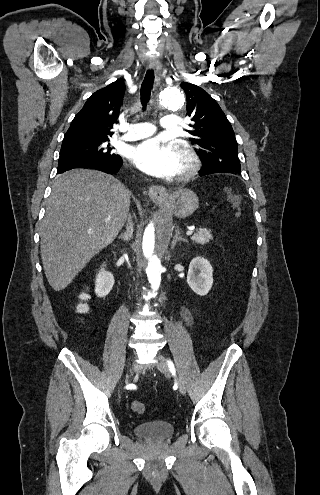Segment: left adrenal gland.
Returning a JSON list of instances; mask_svg holds the SVG:
<instances>
[{
	"instance_id": "obj_1",
	"label": "left adrenal gland",
	"mask_w": 320,
	"mask_h": 495,
	"mask_svg": "<svg viewBox=\"0 0 320 495\" xmlns=\"http://www.w3.org/2000/svg\"><path fill=\"white\" fill-rule=\"evenodd\" d=\"M178 242H185V243H188V240L183 238L182 236H180V232L179 230L176 231V234L175 236L173 237V241H172V245H171V248L173 249L175 247V245L178 243Z\"/></svg>"
}]
</instances>
